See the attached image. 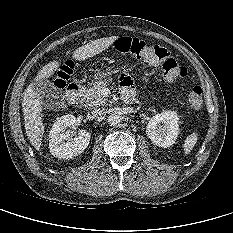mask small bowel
<instances>
[{"label":"small bowel","mask_w":233,"mask_h":233,"mask_svg":"<svg viewBox=\"0 0 233 233\" xmlns=\"http://www.w3.org/2000/svg\"><path fill=\"white\" fill-rule=\"evenodd\" d=\"M151 77V72L148 69H143L140 72V77L137 79V84L143 91H148L151 88V83L148 79ZM122 93L125 97L132 95V80L128 76L121 78Z\"/></svg>","instance_id":"1"}]
</instances>
